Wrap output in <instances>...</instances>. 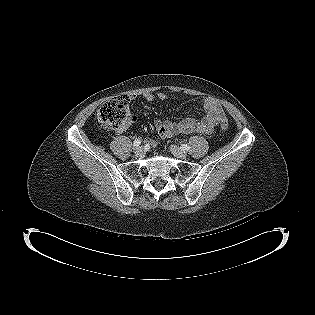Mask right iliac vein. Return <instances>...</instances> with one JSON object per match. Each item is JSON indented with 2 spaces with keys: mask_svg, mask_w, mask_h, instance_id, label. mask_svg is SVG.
<instances>
[{
  "mask_svg": "<svg viewBox=\"0 0 315 315\" xmlns=\"http://www.w3.org/2000/svg\"><path fill=\"white\" fill-rule=\"evenodd\" d=\"M144 150L142 147H136L134 148V153L136 156H141L143 154Z\"/></svg>",
  "mask_w": 315,
  "mask_h": 315,
  "instance_id": "right-iliac-vein-1",
  "label": "right iliac vein"
}]
</instances>
